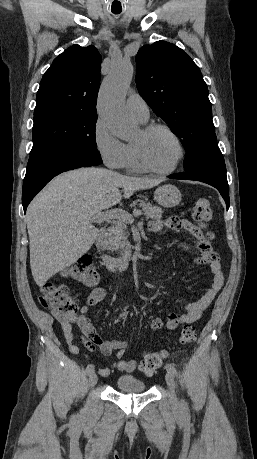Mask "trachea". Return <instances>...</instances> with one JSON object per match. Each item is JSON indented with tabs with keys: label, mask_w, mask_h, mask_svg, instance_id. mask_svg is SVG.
I'll return each mask as SVG.
<instances>
[{
	"label": "trachea",
	"mask_w": 257,
	"mask_h": 459,
	"mask_svg": "<svg viewBox=\"0 0 257 459\" xmlns=\"http://www.w3.org/2000/svg\"><path fill=\"white\" fill-rule=\"evenodd\" d=\"M114 14H120V11H113Z\"/></svg>",
	"instance_id": "3493384b"
}]
</instances>
